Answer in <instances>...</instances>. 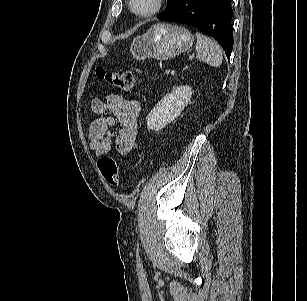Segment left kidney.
<instances>
[{
    "instance_id": "obj_1",
    "label": "left kidney",
    "mask_w": 307,
    "mask_h": 301,
    "mask_svg": "<svg viewBox=\"0 0 307 301\" xmlns=\"http://www.w3.org/2000/svg\"><path fill=\"white\" fill-rule=\"evenodd\" d=\"M192 94V88L189 86L175 87L149 112L146 118L148 129L157 132L171 123L187 106Z\"/></svg>"
}]
</instances>
